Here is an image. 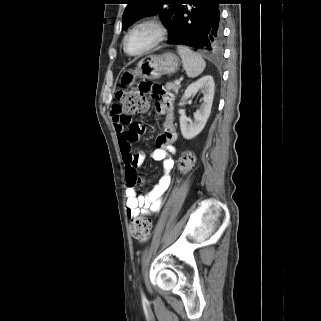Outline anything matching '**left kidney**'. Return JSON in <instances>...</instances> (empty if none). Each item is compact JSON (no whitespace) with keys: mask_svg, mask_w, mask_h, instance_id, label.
<instances>
[{"mask_svg":"<svg viewBox=\"0 0 321 321\" xmlns=\"http://www.w3.org/2000/svg\"><path fill=\"white\" fill-rule=\"evenodd\" d=\"M214 80L211 75H206L198 81L190 84L184 92L180 105H184V101L190 98L197 91L203 93L202 104L199 110L194 113V121L188 123L185 114L180 116V129L185 139H192L197 136L205 127L206 122L211 113V107L214 97Z\"/></svg>","mask_w":321,"mask_h":321,"instance_id":"1","label":"left kidney"}]
</instances>
